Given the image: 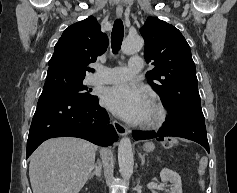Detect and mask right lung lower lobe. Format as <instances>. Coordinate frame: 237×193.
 Returning a JSON list of instances; mask_svg holds the SVG:
<instances>
[{"instance_id":"98d812e1","label":"right lung lower lobe","mask_w":237,"mask_h":193,"mask_svg":"<svg viewBox=\"0 0 237 193\" xmlns=\"http://www.w3.org/2000/svg\"><path fill=\"white\" fill-rule=\"evenodd\" d=\"M62 136L83 138L104 147L118 139L97 96L75 100L61 92L43 91L29 131L27 158L43 141Z\"/></svg>"}]
</instances>
